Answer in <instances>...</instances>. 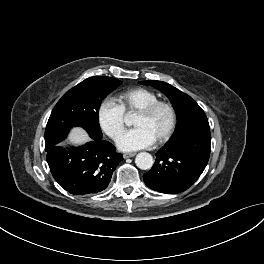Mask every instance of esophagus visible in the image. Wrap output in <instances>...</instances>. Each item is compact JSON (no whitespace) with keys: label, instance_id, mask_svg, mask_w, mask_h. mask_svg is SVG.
<instances>
[{"label":"esophagus","instance_id":"esophagus-1","mask_svg":"<svg viewBox=\"0 0 264 264\" xmlns=\"http://www.w3.org/2000/svg\"><path fill=\"white\" fill-rule=\"evenodd\" d=\"M135 155H136L135 152H129V153H124L123 157L126 159V158L134 157Z\"/></svg>","mask_w":264,"mask_h":264}]
</instances>
